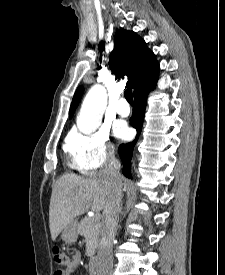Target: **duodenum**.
<instances>
[{
  "label": "duodenum",
  "mask_w": 225,
  "mask_h": 275,
  "mask_svg": "<svg viewBox=\"0 0 225 275\" xmlns=\"http://www.w3.org/2000/svg\"><path fill=\"white\" fill-rule=\"evenodd\" d=\"M97 273V258L92 257L89 261V274L96 275Z\"/></svg>",
  "instance_id": "1"
}]
</instances>
